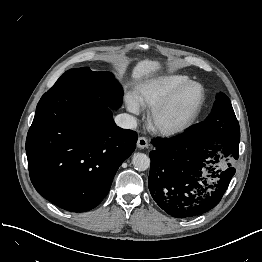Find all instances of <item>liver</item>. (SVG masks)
<instances>
[{
  "mask_svg": "<svg viewBox=\"0 0 262 262\" xmlns=\"http://www.w3.org/2000/svg\"><path fill=\"white\" fill-rule=\"evenodd\" d=\"M161 68V65L158 61L155 60H141L133 69L132 77L134 80H140L143 77L149 76L154 72L158 71Z\"/></svg>",
  "mask_w": 262,
  "mask_h": 262,
  "instance_id": "liver-1",
  "label": "liver"
}]
</instances>
